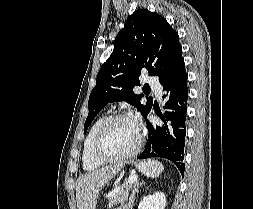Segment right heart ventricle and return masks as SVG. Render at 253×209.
Wrapping results in <instances>:
<instances>
[{"label": "right heart ventricle", "mask_w": 253, "mask_h": 209, "mask_svg": "<svg viewBox=\"0 0 253 209\" xmlns=\"http://www.w3.org/2000/svg\"><path fill=\"white\" fill-rule=\"evenodd\" d=\"M107 118L105 114H102L99 116L92 126L90 127L84 143H83V153H82V165L85 170H94L97 169L101 166V162L97 161L92 153V147H93V142L96 136V133L101 126V124L104 122V120Z\"/></svg>", "instance_id": "obj_1"}]
</instances>
